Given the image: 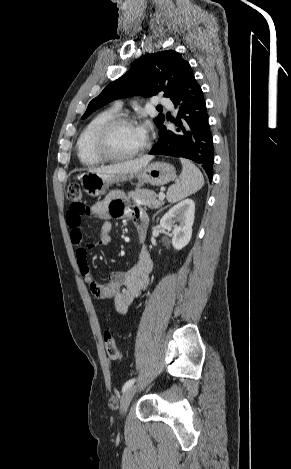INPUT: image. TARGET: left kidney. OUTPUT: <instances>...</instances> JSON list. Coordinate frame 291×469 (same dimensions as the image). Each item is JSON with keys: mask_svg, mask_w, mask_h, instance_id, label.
<instances>
[{"mask_svg": "<svg viewBox=\"0 0 291 469\" xmlns=\"http://www.w3.org/2000/svg\"><path fill=\"white\" fill-rule=\"evenodd\" d=\"M195 204L191 199H185L173 206L160 220V225L172 232V245L181 250L190 241L194 223ZM179 223L177 225L176 223Z\"/></svg>", "mask_w": 291, "mask_h": 469, "instance_id": "5707ae66", "label": "left kidney"}]
</instances>
